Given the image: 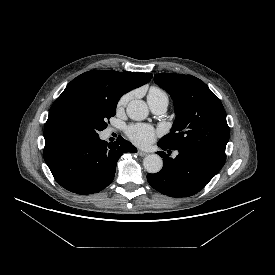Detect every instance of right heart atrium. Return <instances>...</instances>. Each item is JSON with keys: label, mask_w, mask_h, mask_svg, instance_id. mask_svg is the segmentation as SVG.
<instances>
[{"label": "right heart atrium", "mask_w": 275, "mask_h": 275, "mask_svg": "<svg viewBox=\"0 0 275 275\" xmlns=\"http://www.w3.org/2000/svg\"><path fill=\"white\" fill-rule=\"evenodd\" d=\"M130 98V95L129 94H124L120 97V99L118 100V103H117V108L118 109H122L128 102Z\"/></svg>", "instance_id": "d8ad5b80"}]
</instances>
